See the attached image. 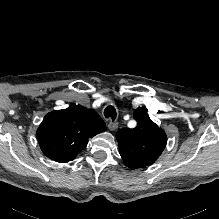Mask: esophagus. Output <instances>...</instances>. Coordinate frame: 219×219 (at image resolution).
<instances>
[{
    "label": "esophagus",
    "instance_id": "34e87169",
    "mask_svg": "<svg viewBox=\"0 0 219 219\" xmlns=\"http://www.w3.org/2000/svg\"><path fill=\"white\" fill-rule=\"evenodd\" d=\"M107 127L110 131L114 132L117 130L118 128V123L117 122H113V121H109L107 124Z\"/></svg>",
    "mask_w": 219,
    "mask_h": 219
}]
</instances>
